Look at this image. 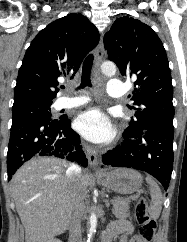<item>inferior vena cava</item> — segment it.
I'll return each mask as SVG.
<instances>
[{
    "instance_id": "602c4592",
    "label": "inferior vena cava",
    "mask_w": 187,
    "mask_h": 242,
    "mask_svg": "<svg viewBox=\"0 0 187 242\" xmlns=\"http://www.w3.org/2000/svg\"><path fill=\"white\" fill-rule=\"evenodd\" d=\"M81 174L80 166L71 164L66 175L69 179L75 180ZM84 211V198L80 190H77V194L73 204L72 216L69 224V241L68 242H83L81 234V218Z\"/></svg>"
}]
</instances>
